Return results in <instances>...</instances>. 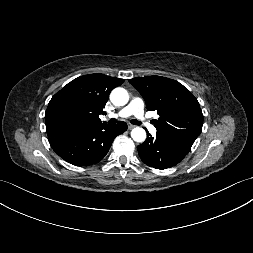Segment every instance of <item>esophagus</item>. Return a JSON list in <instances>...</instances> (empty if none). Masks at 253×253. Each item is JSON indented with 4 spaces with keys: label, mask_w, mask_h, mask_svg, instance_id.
Here are the masks:
<instances>
[{
    "label": "esophagus",
    "mask_w": 253,
    "mask_h": 253,
    "mask_svg": "<svg viewBox=\"0 0 253 253\" xmlns=\"http://www.w3.org/2000/svg\"><path fill=\"white\" fill-rule=\"evenodd\" d=\"M133 128H135V125L128 124V129H129V130H132Z\"/></svg>",
    "instance_id": "obj_1"
}]
</instances>
